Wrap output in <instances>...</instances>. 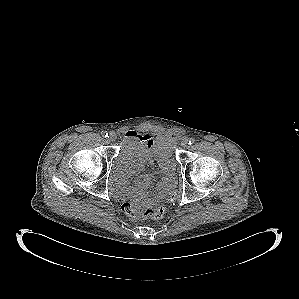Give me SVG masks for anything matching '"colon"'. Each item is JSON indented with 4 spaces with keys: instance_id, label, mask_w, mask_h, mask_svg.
<instances>
[{
    "instance_id": "1",
    "label": "colon",
    "mask_w": 299,
    "mask_h": 299,
    "mask_svg": "<svg viewBox=\"0 0 299 299\" xmlns=\"http://www.w3.org/2000/svg\"><path fill=\"white\" fill-rule=\"evenodd\" d=\"M177 198V193L172 192L169 194L167 201L173 202ZM123 212L132 219H139V218H152V219H159L162 218L165 214L166 208L163 205L141 209L135 204L131 202H125L122 205Z\"/></svg>"
}]
</instances>
